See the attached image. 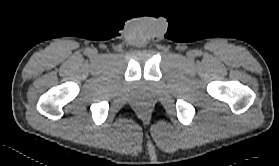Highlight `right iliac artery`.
I'll return each instance as SVG.
<instances>
[{
    "label": "right iliac artery",
    "mask_w": 279,
    "mask_h": 166,
    "mask_svg": "<svg viewBox=\"0 0 279 166\" xmlns=\"http://www.w3.org/2000/svg\"><path fill=\"white\" fill-rule=\"evenodd\" d=\"M90 51H91L90 49H87V52H88V53H90Z\"/></svg>",
    "instance_id": "1"
}]
</instances>
